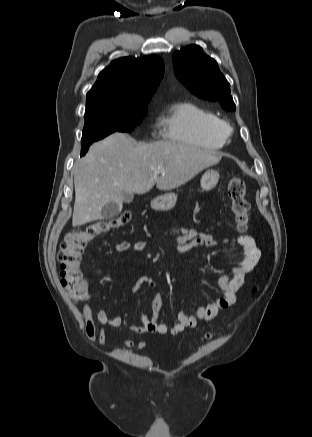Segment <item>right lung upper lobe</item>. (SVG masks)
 I'll return each mask as SVG.
<instances>
[{"label":"right lung upper lobe","instance_id":"1","mask_svg":"<svg viewBox=\"0 0 312 437\" xmlns=\"http://www.w3.org/2000/svg\"><path fill=\"white\" fill-rule=\"evenodd\" d=\"M164 74L157 56L124 57L102 70L87 93L86 111H137L147 107Z\"/></svg>","mask_w":312,"mask_h":437}]
</instances>
